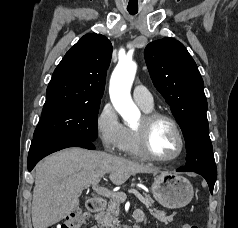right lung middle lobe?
I'll use <instances>...</instances> for the list:
<instances>
[{"instance_id":"dd1d6c3e","label":"right lung middle lobe","mask_w":238,"mask_h":228,"mask_svg":"<svg viewBox=\"0 0 238 228\" xmlns=\"http://www.w3.org/2000/svg\"><path fill=\"white\" fill-rule=\"evenodd\" d=\"M100 104L76 105L42 114L33 139L97 138V115Z\"/></svg>"}]
</instances>
